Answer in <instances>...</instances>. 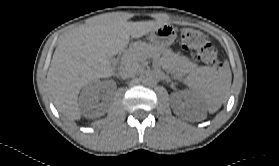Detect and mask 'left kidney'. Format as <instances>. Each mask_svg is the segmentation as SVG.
<instances>
[{
	"label": "left kidney",
	"instance_id": "left-kidney-1",
	"mask_svg": "<svg viewBox=\"0 0 279 166\" xmlns=\"http://www.w3.org/2000/svg\"><path fill=\"white\" fill-rule=\"evenodd\" d=\"M176 99V108L178 112L186 108H200V98L192 91H181L173 94Z\"/></svg>",
	"mask_w": 279,
	"mask_h": 166
}]
</instances>
